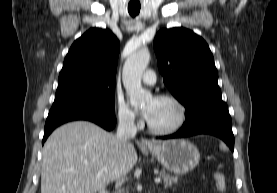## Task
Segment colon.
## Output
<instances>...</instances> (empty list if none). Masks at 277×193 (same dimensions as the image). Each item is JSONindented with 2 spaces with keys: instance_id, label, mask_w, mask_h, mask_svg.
Listing matches in <instances>:
<instances>
[{
  "instance_id": "5ec220e1",
  "label": "colon",
  "mask_w": 277,
  "mask_h": 193,
  "mask_svg": "<svg viewBox=\"0 0 277 193\" xmlns=\"http://www.w3.org/2000/svg\"><path fill=\"white\" fill-rule=\"evenodd\" d=\"M213 180L215 187L219 192L224 193L227 190L226 177L223 173L215 172L213 174Z\"/></svg>"
}]
</instances>
